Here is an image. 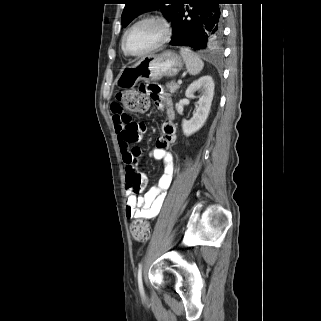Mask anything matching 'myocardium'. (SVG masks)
<instances>
[{
  "instance_id": "myocardium-1",
  "label": "myocardium",
  "mask_w": 321,
  "mask_h": 321,
  "mask_svg": "<svg viewBox=\"0 0 321 321\" xmlns=\"http://www.w3.org/2000/svg\"><path fill=\"white\" fill-rule=\"evenodd\" d=\"M144 22L157 23L160 26L161 31H162L161 37L154 45H152L148 49H146L142 52H139V53H132L128 50L127 45H126L127 36L132 29H134L136 26H138ZM171 37H172V28H171L170 23L164 17H162L160 15L148 14V15H145V16L139 18L138 20H136L124 32L123 37H122V49H123L124 53L130 57H142V56H145V55L152 53V52L160 49L161 47H163L165 44H167L171 40Z\"/></svg>"
}]
</instances>
